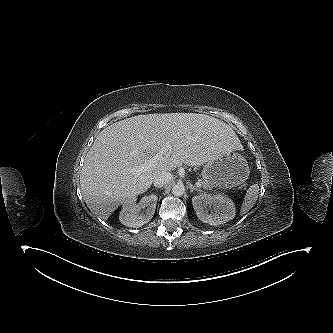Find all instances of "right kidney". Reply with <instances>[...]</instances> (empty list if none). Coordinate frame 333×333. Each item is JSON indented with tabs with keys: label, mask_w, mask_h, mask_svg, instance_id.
Wrapping results in <instances>:
<instances>
[{
	"label": "right kidney",
	"mask_w": 333,
	"mask_h": 333,
	"mask_svg": "<svg viewBox=\"0 0 333 333\" xmlns=\"http://www.w3.org/2000/svg\"><path fill=\"white\" fill-rule=\"evenodd\" d=\"M157 199L158 197L154 194L143 197L139 203H135V197L129 198L123 204L119 215L120 222L133 228H138L148 223L155 213ZM145 208L146 210L141 212Z\"/></svg>",
	"instance_id": "ca27d5eb"
}]
</instances>
